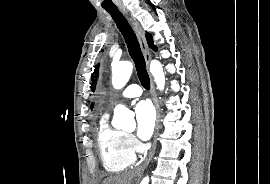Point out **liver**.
Wrapping results in <instances>:
<instances>
[{
    "mask_svg": "<svg viewBox=\"0 0 270 184\" xmlns=\"http://www.w3.org/2000/svg\"><path fill=\"white\" fill-rule=\"evenodd\" d=\"M134 174H125V175H118L108 177L103 181V184H130L131 180L133 179Z\"/></svg>",
    "mask_w": 270,
    "mask_h": 184,
    "instance_id": "liver-1",
    "label": "liver"
}]
</instances>
